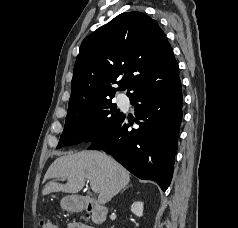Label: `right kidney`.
<instances>
[{"label": "right kidney", "mask_w": 238, "mask_h": 228, "mask_svg": "<svg viewBox=\"0 0 238 228\" xmlns=\"http://www.w3.org/2000/svg\"><path fill=\"white\" fill-rule=\"evenodd\" d=\"M131 212L136 216L141 217L143 215V202L136 201L131 205Z\"/></svg>", "instance_id": "obj_1"}]
</instances>
